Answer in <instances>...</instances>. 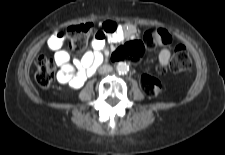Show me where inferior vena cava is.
Masks as SVG:
<instances>
[{
  "label": "inferior vena cava",
  "instance_id": "602c4592",
  "mask_svg": "<svg viewBox=\"0 0 225 155\" xmlns=\"http://www.w3.org/2000/svg\"><path fill=\"white\" fill-rule=\"evenodd\" d=\"M99 73L103 74V73H108L112 71V67L110 65H103L99 68Z\"/></svg>",
  "mask_w": 225,
  "mask_h": 155
}]
</instances>
